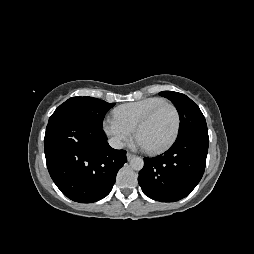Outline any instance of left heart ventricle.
Segmentation results:
<instances>
[{
	"instance_id": "left-heart-ventricle-1",
	"label": "left heart ventricle",
	"mask_w": 254,
	"mask_h": 254,
	"mask_svg": "<svg viewBox=\"0 0 254 254\" xmlns=\"http://www.w3.org/2000/svg\"><path fill=\"white\" fill-rule=\"evenodd\" d=\"M176 124L174 110L163 107L153 119L138 133L146 148H156L164 144L173 134Z\"/></svg>"
}]
</instances>
